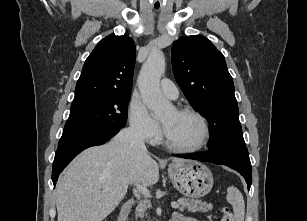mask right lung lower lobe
Masks as SVG:
<instances>
[{
    "label": "right lung lower lobe",
    "instance_id": "1",
    "mask_svg": "<svg viewBox=\"0 0 307 221\" xmlns=\"http://www.w3.org/2000/svg\"><path fill=\"white\" fill-rule=\"evenodd\" d=\"M119 130L120 129H115L110 132L84 137L72 141L70 143L58 146V149L55 153L52 168V181L54 186L56 185L59 174L73 160L76 155H78L81 151L88 147L104 144L115 134H117Z\"/></svg>",
    "mask_w": 307,
    "mask_h": 221
}]
</instances>
